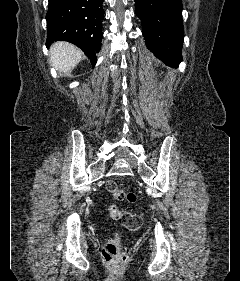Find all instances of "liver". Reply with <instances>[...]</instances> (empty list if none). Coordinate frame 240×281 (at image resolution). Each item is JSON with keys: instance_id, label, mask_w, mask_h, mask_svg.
I'll use <instances>...</instances> for the list:
<instances>
[{"instance_id": "obj_1", "label": "liver", "mask_w": 240, "mask_h": 281, "mask_svg": "<svg viewBox=\"0 0 240 281\" xmlns=\"http://www.w3.org/2000/svg\"><path fill=\"white\" fill-rule=\"evenodd\" d=\"M82 51L71 43L56 42L50 48V61L61 72L73 69L82 59Z\"/></svg>"}]
</instances>
